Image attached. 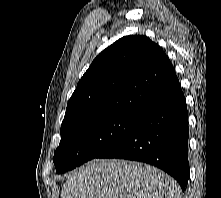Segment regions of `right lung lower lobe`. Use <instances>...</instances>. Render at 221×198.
I'll return each instance as SVG.
<instances>
[{"label": "right lung lower lobe", "instance_id": "obj_1", "mask_svg": "<svg viewBox=\"0 0 221 198\" xmlns=\"http://www.w3.org/2000/svg\"><path fill=\"white\" fill-rule=\"evenodd\" d=\"M188 116L179 87L145 112L134 128L96 158H119L154 165L174 177L184 191L189 179Z\"/></svg>", "mask_w": 221, "mask_h": 198}]
</instances>
